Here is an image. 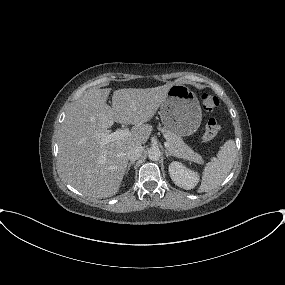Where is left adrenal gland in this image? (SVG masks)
<instances>
[{
	"label": "left adrenal gland",
	"instance_id": "1",
	"mask_svg": "<svg viewBox=\"0 0 285 285\" xmlns=\"http://www.w3.org/2000/svg\"><path fill=\"white\" fill-rule=\"evenodd\" d=\"M165 155L166 157H169V156H174L171 152H169L168 150H165Z\"/></svg>",
	"mask_w": 285,
	"mask_h": 285
}]
</instances>
